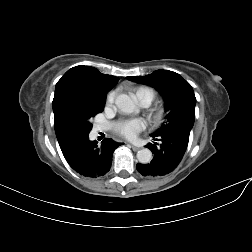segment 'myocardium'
<instances>
[{
  "label": "myocardium",
  "mask_w": 252,
  "mask_h": 252,
  "mask_svg": "<svg viewBox=\"0 0 252 252\" xmlns=\"http://www.w3.org/2000/svg\"><path fill=\"white\" fill-rule=\"evenodd\" d=\"M167 115L168 110L163 102L156 103L148 111L149 120L156 127L165 122Z\"/></svg>",
  "instance_id": "myocardium-1"
}]
</instances>
